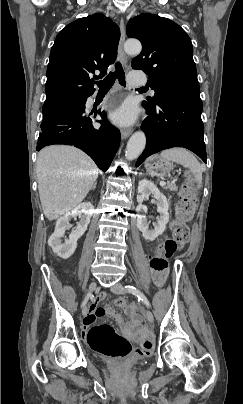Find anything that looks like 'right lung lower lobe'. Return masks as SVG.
Returning <instances> with one entry per match:
<instances>
[{
    "label": "right lung lower lobe",
    "instance_id": "obj_1",
    "mask_svg": "<svg viewBox=\"0 0 243 404\" xmlns=\"http://www.w3.org/2000/svg\"><path fill=\"white\" fill-rule=\"evenodd\" d=\"M85 101L86 98L43 113L42 132L36 150L52 144L74 145L87 153L106 172L119 148L120 132L107 122L105 113L100 112L104 120L98 121L101 123L99 129L94 128V118L89 117L91 114H85Z\"/></svg>",
    "mask_w": 243,
    "mask_h": 404
}]
</instances>
